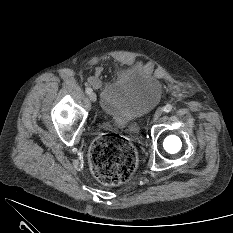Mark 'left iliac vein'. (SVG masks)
Returning a JSON list of instances; mask_svg holds the SVG:
<instances>
[{"mask_svg":"<svg viewBox=\"0 0 233 233\" xmlns=\"http://www.w3.org/2000/svg\"><path fill=\"white\" fill-rule=\"evenodd\" d=\"M163 114V109L158 108L154 114V120H158Z\"/></svg>","mask_w":233,"mask_h":233,"instance_id":"obj_1","label":"left iliac vein"}]
</instances>
